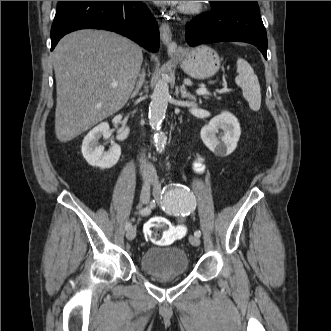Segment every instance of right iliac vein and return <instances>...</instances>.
Instances as JSON below:
<instances>
[{
    "mask_svg": "<svg viewBox=\"0 0 331 331\" xmlns=\"http://www.w3.org/2000/svg\"><path fill=\"white\" fill-rule=\"evenodd\" d=\"M150 187H151V182L148 180L144 181L140 192V201L143 204H146L149 201ZM135 236H136V228L131 227L126 233V238L131 241L135 238Z\"/></svg>",
    "mask_w": 331,
    "mask_h": 331,
    "instance_id": "63e3f726",
    "label": "right iliac vein"
}]
</instances>
